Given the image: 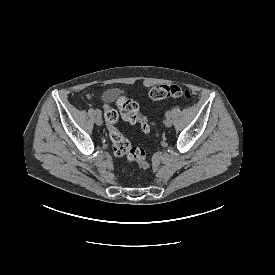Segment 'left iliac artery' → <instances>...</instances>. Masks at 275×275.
Listing matches in <instances>:
<instances>
[{
  "label": "left iliac artery",
  "mask_w": 275,
  "mask_h": 275,
  "mask_svg": "<svg viewBox=\"0 0 275 275\" xmlns=\"http://www.w3.org/2000/svg\"><path fill=\"white\" fill-rule=\"evenodd\" d=\"M165 116H166V117H170V116H171V112H170V111H167V112L165 113Z\"/></svg>",
  "instance_id": "obj_1"
}]
</instances>
